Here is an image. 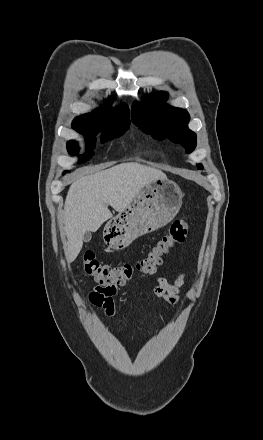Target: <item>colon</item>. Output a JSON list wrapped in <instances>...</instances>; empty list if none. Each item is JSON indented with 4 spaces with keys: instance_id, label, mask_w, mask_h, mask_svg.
Listing matches in <instances>:
<instances>
[{
    "instance_id": "colon-1",
    "label": "colon",
    "mask_w": 263,
    "mask_h": 440,
    "mask_svg": "<svg viewBox=\"0 0 263 440\" xmlns=\"http://www.w3.org/2000/svg\"><path fill=\"white\" fill-rule=\"evenodd\" d=\"M190 228L187 218L175 219L168 231L140 260L134 263L118 265L101 263L94 251L88 250L83 256L84 273L102 287L117 288L127 285L136 274L147 275L154 273L162 264V258L175 245L185 240Z\"/></svg>"
}]
</instances>
